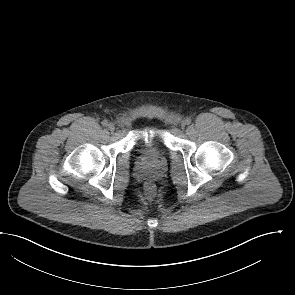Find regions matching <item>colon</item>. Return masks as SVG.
<instances>
[{"label": "colon", "mask_w": 295, "mask_h": 295, "mask_svg": "<svg viewBox=\"0 0 295 295\" xmlns=\"http://www.w3.org/2000/svg\"><path fill=\"white\" fill-rule=\"evenodd\" d=\"M145 191L147 195L152 196L155 193V185L152 182H147L145 184Z\"/></svg>", "instance_id": "1"}]
</instances>
